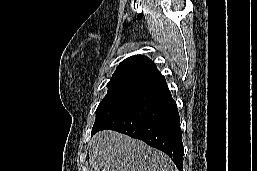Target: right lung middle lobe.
<instances>
[{"label": "right lung middle lobe", "instance_id": "obj_1", "mask_svg": "<svg viewBox=\"0 0 257 171\" xmlns=\"http://www.w3.org/2000/svg\"><path fill=\"white\" fill-rule=\"evenodd\" d=\"M148 90L147 86H141L132 89L111 87L106 96L100 102L96 110V120L92 131L97 129L109 117L121 109L124 105L129 103L135 97Z\"/></svg>", "mask_w": 257, "mask_h": 171}]
</instances>
